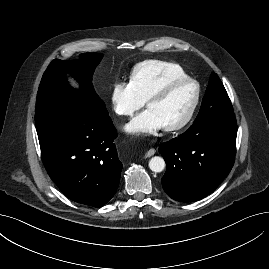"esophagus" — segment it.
<instances>
[{
	"label": "esophagus",
	"instance_id": "esophagus-1",
	"mask_svg": "<svg viewBox=\"0 0 269 269\" xmlns=\"http://www.w3.org/2000/svg\"><path fill=\"white\" fill-rule=\"evenodd\" d=\"M154 154H155V150L153 148H151L146 152L145 157L148 158Z\"/></svg>",
	"mask_w": 269,
	"mask_h": 269
}]
</instances>
